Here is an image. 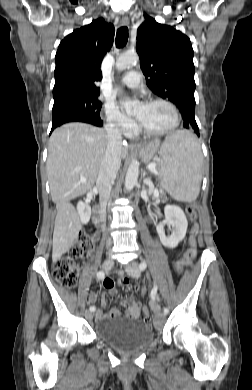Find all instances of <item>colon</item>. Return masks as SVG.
<instances>
[{"label":"colon","mask_w":252,"mask_h":390,"mask_svg":"<svg viewBox=\"0 0 252 390\" xmlns=\"http://www.w3.org/2000/svg\"><path fill=\"white\" fill-rule=\"evenodd\" d=\"M187 213L193 226L188 236V248L184 254L182 263H190L196 255V237L199 231V226L196 223L197 211L194 205L187 207ZM93 237L87 234L81 235L72 245L69 253L57 259L53 263V275L56 280L66 288H72L76 285L78 280V267L76 260L82 258L92 251ZM128 283L123 282L122 287H126ZM152 316L148 310H145L144 322L149 325Z\"/></svg>","instance_id":"obj_1"}]
</instances>
